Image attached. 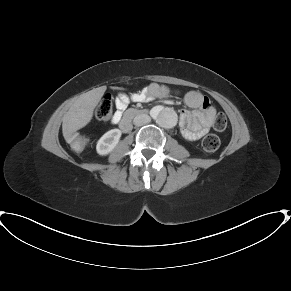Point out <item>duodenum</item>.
Returning a JSON list of instances; mask_svg holds the SVG:
<instances>
[{
  "instance_id": "obj_1",
  "label": "duodenum",
  "mask_w": 291,
  "mask_h": 291,
  "mask_svg": "<svg viewBox=\"0 0 291 291\" xmlns=\"http://www.w3.org/2000/svg\"><path fill=\"white\" fill-rule=\"evenodd\" d=\"M148 113L146 109L130 108L126 110L123 114L122 120L120 122V129L123 132H128L130 130V121L136 116H142Z\"/></svg>"
}]
</instances>
